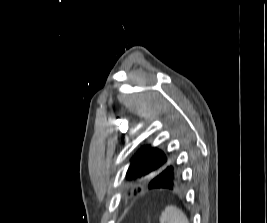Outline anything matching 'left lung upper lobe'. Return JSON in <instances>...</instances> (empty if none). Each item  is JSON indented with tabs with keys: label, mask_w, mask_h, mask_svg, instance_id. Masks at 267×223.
<instances>
[{
	"label": "left lung upper lobe",
	"mask_w": 267,
	"mask_h": 223,
	"mask_svg": "<svg viewBox=\"0 0 267 223\" xmlns=\"http://www.w3.org/2000/svg\"><path fill=\"white\" fill-rule=\"evenodd\" d=\"M180 171L174 155L151 146L142 147L132 158L126 174L131 182H151L154 173Z\"/></svg>",
	"instance_id": "obj_1"
}]
</instances>
